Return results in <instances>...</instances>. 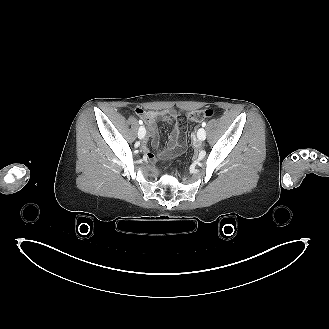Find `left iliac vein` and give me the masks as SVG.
I'll return each instance as SVG.
<instances>
[{"instance_id":"left-iliac-vein-1","label":"left iliac vein","mask_w":329,"mask_h":329,"mask_svg":"<svg viewBox=\"0 0 329 329\" xmlns=\"http://www.w3.org/2000/svg\"><path fill=\"white\" fill-rule=\"evenodd\" d=\"M197 138L200 142L206 139V131L204 128H200L197 132Z\"/></svg>"}]
</instances>
